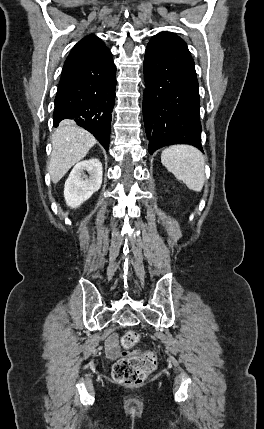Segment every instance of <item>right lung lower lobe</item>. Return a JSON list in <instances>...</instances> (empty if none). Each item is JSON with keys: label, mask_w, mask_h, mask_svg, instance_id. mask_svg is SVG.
<instances>
[{"label": "right lung lower lobe", "mask_w": 264, "mask_h": 429, "mask_svg": "<svg viewBox=\"0 0 264 429\" xmlns=\"http://www.w3.org/2000/svg\"><path fill=\"white\" fill-rule=\"evenodd\" d=\"M115 86L116 67L109 49L63 72L55 97L54 127L64 119L73 120L108 150Z\"/></svg>", "instance_id": "right-lung-lower-lobe-1"}]
</instances>
